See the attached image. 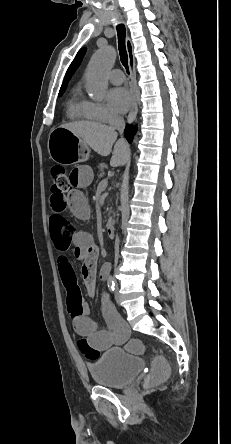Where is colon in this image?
<instances>
[{"instance_id": "5ec220e1", "label": "colon", "mask_w": 231, "mask_h": 444, "mask_svg": "<svg viewBox=\"0 0 231 444\" xmlns=\"http://www.w3.org/2000/svg\"><path fill=\"white\" fill-rule=\"evenodd\" d=\"M67 171L62 166H53L51 168V193L57 198L64 197L70 190ZM78 347L83 355L93 360L100 356L99 350L90 346L86 339L78 341ZM129 348L136 353H141L144 349L143 344L138 340H132L129 343ZM168 374V366L163 357L157 356L154 358L151 366V371L147 377V384L155 383L164 379Z\"/></svg>"}]
</instances>
